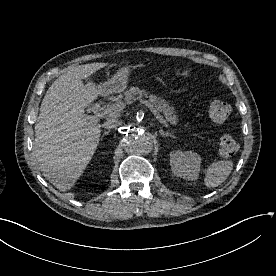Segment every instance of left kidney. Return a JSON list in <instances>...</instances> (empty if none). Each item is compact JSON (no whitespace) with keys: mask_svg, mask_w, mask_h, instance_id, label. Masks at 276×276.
Returning a JSON list of instances; mask_svg holds the SVG:
<instances>
[{"mask_svg":"<svg viewBox=\"0 0 276 276\" xmlns=\"http://www.w3.org/2000/svg\"><path fill=\"white\" fill-rule=\"evenodd\" d=\"M201 158L192 151H173L170 154V165L174 175L186 179L197 180L200 171Z\"/></svg>","mask_w":276,"mask_h":276,"instance_id":"obj_1","label":"left kidney"}]
</instances>
